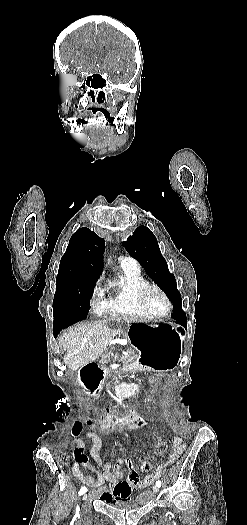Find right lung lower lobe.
<instances>
[{"instance_id":"obj_1","label":"right lung lower lobe","mask_w":247,"mask_h":525,"mask_svg":"<svg viewBox=\"0 0 247 525\" xmlns=\"http://www.w3.org/2000/svg\"><path fill=\"white\" fill-rule=\"evenodd\" d=\"M66 327L67 326H65V325L53 326V335H54V337H56L58 335V333L60 332L61 329H64Z\"/></svg>"}]
</instances>
